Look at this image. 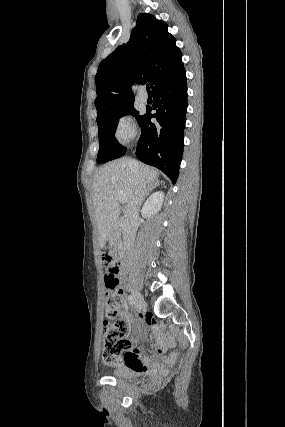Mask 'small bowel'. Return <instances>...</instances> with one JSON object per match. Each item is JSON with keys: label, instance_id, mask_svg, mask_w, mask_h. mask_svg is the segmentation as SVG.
Masks as SVG:
<instances>
[{"label": "small bowel", "instance_id": "1", "mask_svg": "<svg viewBox=\"0 0 285 427\" xmlns=\"http://www.w3.org/2000/svg\"><path fill=\"white\" fill-rule=\"evenodd\" d=\"M122 316L128 322L130 321V316H129L127 306H125L123 308ZM138 323L141 326L146 325V326L154 327L156 325V322L154 319H152L150 317H142V316H140L138 318ZM137 341H138L137 337L132 338V342L134 344H136ZM161 346H163L164 348L169 347L166 339L161 341ZM176 357H177V354H172L168 357L161 356L158 358V360L153 361L150 358H148L145 354L138 351L137 348L134 346L133 350L131 352L125 353V354H123V356L121 358H119V360L117 361V365H125V366H129V367H134L136 362L141 361L145 364V367H144L145 369H147L151 372H155V371L159 370L160 368L172 365L175 362Z\"/></svg>", "mask_w": 285, "mask_h": 427}]
</instances>
